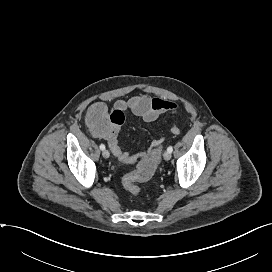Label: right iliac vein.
Returning a JSON list of instances; mask_svg holds the SVG:
<instances>
[{"instance_id": "63e3f726", "label": "right iliac vein", "mask_w": 272, "mask_h": 272, "mask_svg": "<svg viewBox=\"0 0 272 272\" xmlns=\"http://www.w3.org/2000/svg\"><path fill=\"white\" fill-rule=\"evenodd\" d=\"M102 156H103L104 158H109V156H110L109 151H108V150H103Z\"/></svg>"}]
</instances>
